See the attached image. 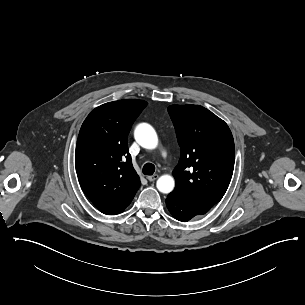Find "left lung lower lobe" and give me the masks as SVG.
Returning <instances> with one entry per match:
<instances>
[{"mask_svg": "<svg viewBox=\"0 0 305 305\" xmlns=\"http://www.w3.org/2000/svg\"><path fill=\"white\" fill-rule=\"evenodd\" d=\"M166 205L172 216L182 222L189 221L195 216L205 214L211 208L186 203L172 193L168 195Z\"/></svg>", "mask_w": 305, "mask_h": 305, "instance_id": "obj_1", "label": "left lung lower lobe"}]
</instances>
